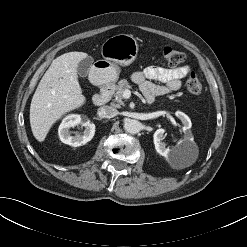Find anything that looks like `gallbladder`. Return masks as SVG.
<instances>
[{
  "instance_id": "obj_1",
  "label": "gallbladder",
  "mask_w": 247,
  "mask_h": 247,
  "mask_svg": "<svg viewBox=\"0 0 247 247\" xmlns=\"http://www.w3.org/2000/svg\"><path fill=\"white\" fill-rule=\"evenodd\" d=\"M92 65H93V58L91 56H88L83 60H81L77 67L78 75L81 77H86L89 74Z\"/></svg>"
}]
</instances>
